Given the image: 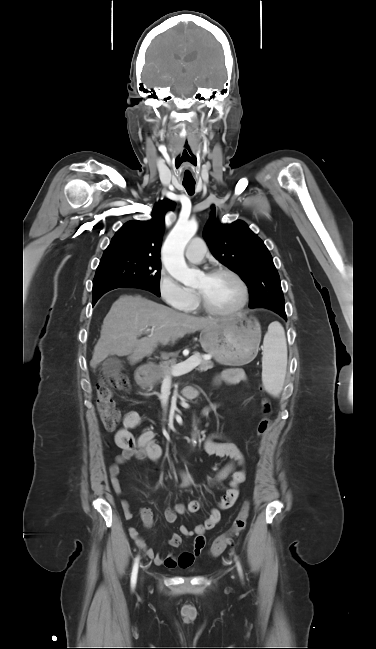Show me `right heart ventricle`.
<instances>
[{
    "instance_id": "e07e8e85",
    "label": "right heart ventricle",
    "mask_w": 376,
    "mask_h": 649,
    "mask_svg": "<svg viewBox=\"0 0 376 649\" xmlns=\"http://www.w3.org/2000/svg\"><path fill=\"white\" fill-rule=\"evenodd\" d=\"M183 310L189 313H194L199 310V305L197 303L195 294L192 293V298L190 302L183 308Z\"/></svg>"
}]
</instances>
